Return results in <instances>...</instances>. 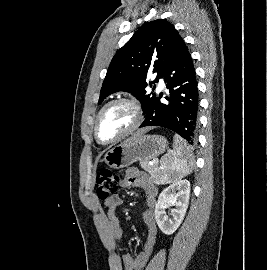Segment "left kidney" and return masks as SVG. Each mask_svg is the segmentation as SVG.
I'll list each match as a JSON object with an SVG mask.
<instances>
[{"label":"left kidney","instance_id":"5707ae66","mask_svg":"<svg viewBox=\"0 0 267 270\" xmlns=\"http://www.w3.org/2000/svg\"><path fill=\"white\" fill-rule=\"evenodd\" d=\"M190 196V182L186 179L173 182L159 195L155 206V219L160 230L173 234L182 223L186 214ZM173 206L171 218H168L165 208Z\"/></svg>","mask_w":267,"mask_h":270}]
</instances>
